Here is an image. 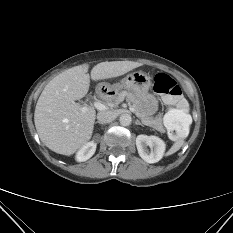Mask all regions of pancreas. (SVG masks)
I'll use <instances>...</instances> for the list:
<instances>
[{
	"mask_svg": "<svg viewBox=\"0 0 233 233\" xmlns=\"http://www.w3.org/2000/svg\"><path fill=\"white\" fill-rule=\"evenodd\" d=\"M126 99V101L135 109L136 115L143 121L146 122V124L150 127H153L157 131L164 133L165 128L162 124V120L160 118H151L146 116L144 113L141 112L139 105H138V100L135 97L134 94L128 91H121L118 93L117 96L113 98V103L118 104L120 101Z\"/></svg>",
	"mask_w": 233,
	"mask_h": 233,
	"instance_id": "obj_1",
	"label": "pancreas"
}]
</instances>
